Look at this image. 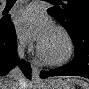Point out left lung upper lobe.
Segmentation results:
<instances>
[{"label": "left lung upper lobe", "instance_id": "1", "mask_svg": "<svg viewBox=\"0 0 89 89\" xmlns=\"http://www.w3.org/2000/svg\"><path fill=\"white\" fill-rule=\"evenodd\" d=\"M56 0L54 5H61L48 9L67 30L72 32L80 23H89V0Z\"/></svg>", "mask_w": 89, "mask_h": 89}]
</instances>
